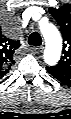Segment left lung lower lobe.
<instances>
[{
    "instance_id": "1",
    "label": "left lung lower lobe",
    "mask_w": 71,
    "mask_h": 119,
    "mask_svg": "<svg viewBox=\"0 0 71 119\" xmlns=\"http://www.w3.org/2000/svg\"><path fill=\"white\" fill-rule=\"evenodd\" d=\"M46 70L60 82L70 85L71 84V71L59 69L56 67H46Z\"/></svg>"
}]
</instances>
